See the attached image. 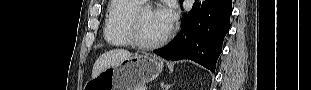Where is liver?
I'll use <instances>...</instances> for the list:
<instances>
[{"mask_svg": "<svg viewBox=\"0 0 311 90\" xmlns=\"http://www.w3.org/2000/svg\"><path fill=\"white\" fill-rule=\"evenodd\" d=\"M131 56L132 53L124 49H113L105 52L94 63L91 77H97L105 69L115 67Z\"/></svg>", "mask_w": 311, "mask_h": 90, "instance_id": "1", "label": "liver"}]
</instances>
